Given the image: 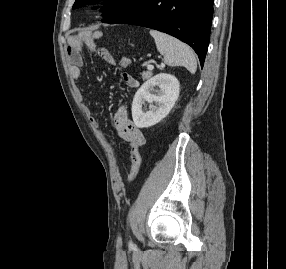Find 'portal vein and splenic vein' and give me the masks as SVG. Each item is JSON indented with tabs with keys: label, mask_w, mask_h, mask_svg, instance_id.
<instances>
[{
	"label": "portal vein and splenic vein",
	"mask_w": 286,
	"mask_h": 269,
	"mask_svg": "<svg viewBox=\"0 0 286 269\" xmlns=\"http://www.w3.org/2000/svg\"><path fill=\"white\" fill-rule=\"evenodd\" d=\"M147 69H148V70H153V69H154V66L151 65V64H149V65L147 66Z\"/></svg>",
	"instance_id": "18ae733b"
}]
</instances>
